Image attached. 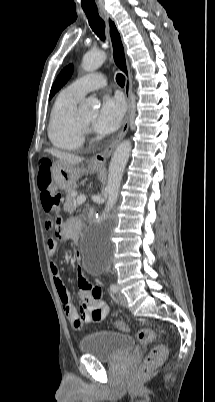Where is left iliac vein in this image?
Masks as SVG:
<instances>
[{
	"instance_id": "4c4485c4",
	"label": "left iliac vein",
	"mask_w": 215,
	"mask_h": 402,
	"mask_svg": "<svg viewBox=\"0 0 215 402\" xmlns=\"http://www.w3.org/2000/svg\"><path fill=\"white\" fill-rule=\"evenodd\" d=\"M117 299H118V302H119V304H120L121 306L127 307L128 302H127V299H126V297H125L124 294H122V293L119 292L118 295H117Z\"/></svg>"
}]
</instances>
